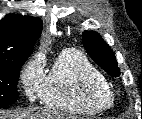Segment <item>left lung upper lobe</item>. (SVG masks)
<instances>
[{"label":"left lung upper lobe","mask_w":142,"mask_h":119,"mask_svg":"<svg viewBox=\"0 0 142 119\" xmlns=\"http://www.w3.org/2000/svg\"><path fill=\"white\" fill-rule=\"evenodd\" d=\"M82 40L91 58L109 75L120 76L117 60L109 45L94 31H84Z\"/></svg>","instance_id":"obj_1"}]
</instances>
